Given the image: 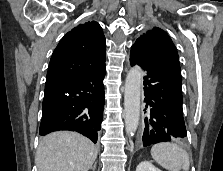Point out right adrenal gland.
I'll return each mask as SVG.
<instances>
[{"mask_svg": "<svg viewBox=\"0 0 223 171\" xmlns=\"http://www.w3.org/2000/svg\"><path fill=\"white\" fill-rule=\"evenodd\" d=\"M96 165H97V162H95L94 165L91 167V169H92L93 171H95V169H96Z\"/></svg>", "mask_w": 223, "mask_h": 171, "instance_id": "right-adrenal-gland-1", "label": "right adrenal gland"}]
</instances>
